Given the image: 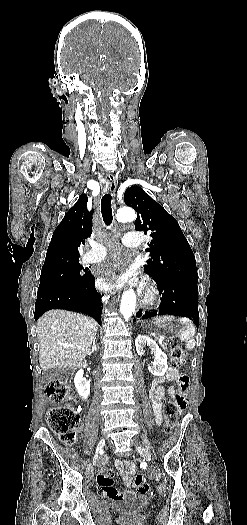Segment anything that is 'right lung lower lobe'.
Wrapping results in <instances>:
<instances>
[{
  "mask_svg": "<svg viewBox=\"0 0 247 525\" xmlns=\"http://www.w3.org/2000/svg\"><path fill=\"white\" fill-rule=\"evenodd\" d=\"M101 294L95 289L91 274L77 284H63L42 290L37 294L35 320L51 309H65L87 314L101 324Z\"/></svg>",
  "mask_w": 247,
  "mask_h": 525,
  "instance_id": "obj_1",
  "label": "right lung lower lobe"
}]
</instances>
